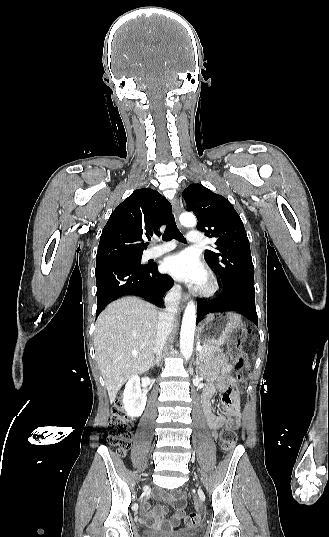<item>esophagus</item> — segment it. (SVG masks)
<instances>
[{"label": "esophagus", "instance_id": "esophagus-1", "mask_svg": "<svg viewBox=\"0 0 329 537\" xmlns=\"http://www.w3.org/2000/svg\"><path fill=\"white\" fill-rule=\"evenodd\" d=\"M172 208H173V213H174L175 219H176V221H177V223L179 225L178 218H179V215H180V206H179V202L177 201V199H174L172 201ZM187 299H188V296H187V294L184 293L183 296H182V299H181L182 304H185Z\"/></svg>", "mask_w": 329, "mask_h": 537}]
</instances>
